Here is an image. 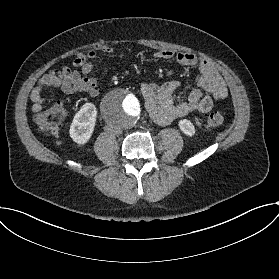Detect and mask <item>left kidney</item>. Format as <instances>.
Wrapping results in <instances>:
<instances>
[{
  "label": "left kidney",
  "instance_id": "1",
  "mask_svg": "<svg viewBox=\"0 0 279 279\" xmlns=\"http://www.w3.org/2000/svg\"><path fill=\"white\" fill-rule=\"evenodd\" d=\"M178 128L187 137L193 138L196 134L195 125L190 119H180L178 121Z\"/></svg>",
  "mask_w": 279,
  "mask_h": 279
}]
</instances>
